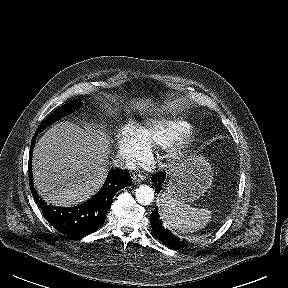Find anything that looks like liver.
Masks as SVG:
<instances>
[{"mask_svg": "<svg viewBox=\"0 0 288 288\" xmlns=\"http://www.w3.org/2000/svg\"><path fill=\"white\" fill-rule=\"evenodd\" d=\"M133 107L149 111V99H135ZM109 139L103 129L86 130L60 122L38 140L33 151V183L42 199L61 207L78 205L93 196L107 174Z\"/></svg>", "mask_w": 288, "mask_h": 288, "instance_id": "6515ba94", "label": "liver"}]
</instances>
